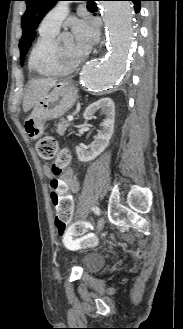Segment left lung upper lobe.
Returning <instances> with one entry per match:
<instances>
[{
	"label": "left lung upper lobe",
	"instance_id": "left-lung-upper-lobe-1",
	"mask_svg": "<svg viewBox=\"0 0 183 329\" xmlns=\"http://www.w3.org/2000/svg\"><path fill=\"white\" fill-rule=\"evenodd\" d=\"M26 2V12L22 16L21 26L23 35L19 42L20 60L23 65L24 58L31 46L35 36V29L38 27L40 21L52 8V6L59 0H24Z\"/></svg>",
	"mask_w": 183,
	"mask_h": 329
}]
</instances>
